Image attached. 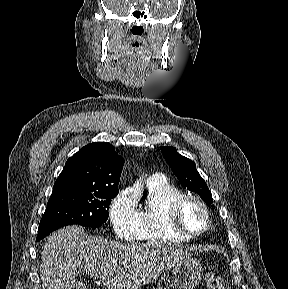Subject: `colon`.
Masks as SVG:
<instances>
[{
	"mask_svg": "<svg viewBox=\"0 0 288 289\" xmlns=\"http://www.w3.org/2000/svg\"><path fill=\"white\" fill-rule=\"evenodd\" d=\"M205 283L207 289H227L226 280L213 272L206 274Z\"/></svg>",
	"mask_w": 288,
	"mask_h": 289,
	"instance_id": "colon-1",
	"label": "colon"
}]
</instances>
